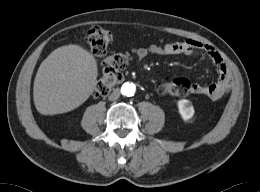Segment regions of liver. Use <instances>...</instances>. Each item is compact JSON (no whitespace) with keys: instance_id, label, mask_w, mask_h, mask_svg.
<instances>
[{"instance_id":"obj_1","label":"liver","mask_w":260,"mask_h":192,"mask_svg":"<svg viewBox=\"0 0 260 192\" xmlns=\"http://www.w3.org/2000/svg\"><path fill=\"white\" fill-rule=\"evenodd\" d=\"M98 76L93 54L77 44L55 49L40 64L33 86L37 111L43 115L66 113L92 94Z\"/></svg>"}]
</instances>
